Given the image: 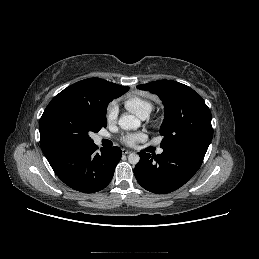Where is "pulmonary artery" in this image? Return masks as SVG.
<instances>
[{
  "label": "pulmonary artery",
  "mask_w": 259,
  "mask_h": 259,
  "mask_svg": "<svg viewBox=\"0 0 259 259\" xmlns=\"http://www.w3.org/2000/svg\"><path fill=\"white\" fill-rule=\"evenodd\" d=\"M141 118H143V119L146 118V115L141 116ZM162 152H163V150L161 148L157 150L158 154H162Z\"/></svg>",
  "instance_id": "obj_1"
}]
</instances>
